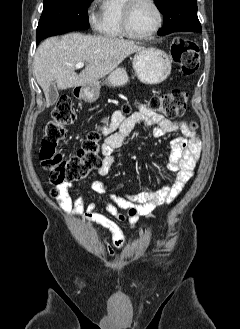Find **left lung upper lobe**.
Here are the masks:
<instances>
[{"mask_svg":"<svg viewBox=\"0 0 240 329\" xmlns=\"http://www.w3.org/2000/svg\"><path fill=\"white\" fill-rule=\"evenodd\" d=\"M163 14V28L158 35L163 36L178 31L202 32L197 17L196 0H154Z\"/></svg>","mask_w":240,"mask_h":329,"instance_id":"obj_1","label":"left lung upper lobe"}]
</instances>
